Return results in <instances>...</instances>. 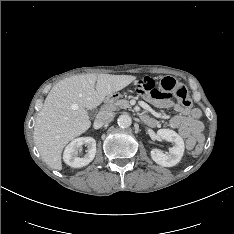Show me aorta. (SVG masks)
<instances>
[{
    "label": "aorta",
    "instance_id": "1",
    "mask_svg": "<svg viewBox=\"0 0 234 234\" xmlns=\"http://www.w3.org/2000/svg\"><path fill=\"white\" fill-rule=\"evenodd\" d=\"M117 123L121 128H128L132 124V119L127 114H122L118 117Z\"/></svg>",
    "mask_w": 234,
    "mask_h": 234
}]
</instances>
